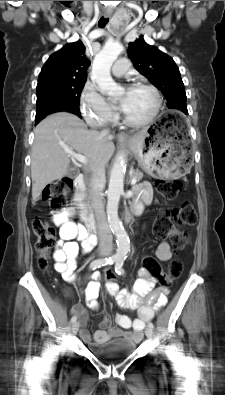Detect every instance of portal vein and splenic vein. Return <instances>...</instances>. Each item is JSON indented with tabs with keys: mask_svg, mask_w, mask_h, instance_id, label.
Wrapping results in <instances>:
<instances>
[{
	"mask_svg": "<svg viewBox=\"0 0 225 395\" xmlns=\"http://www.w3.org/2000/svg\"><path fill=\"white\" fill-rule=\"evenodd\" d=\"M66 153H68L69 156L75 158L77 161L86 164L87 163V159L85 156L81 155V154H77L71 150H66ZM137 182L136 178H132L131 180V185H134Z\"/></svg>",
	"mask_w": 225,
	"mask_h": 395,
	"instance_id": "obj_1",
	"label": "portal vein and splenic vein"
}]
</instances>
